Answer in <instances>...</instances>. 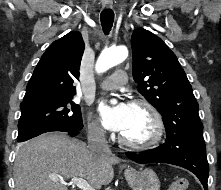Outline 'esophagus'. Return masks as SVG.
Wrapping results in <instances>:
<instances>
[{
    "label": "esophagus",
    "instance_id": "34e87169",
    "mask_svg": "<svg viewBox=\"0 0 221 190\" xmlns=\"http://www.w3.org/2000/svg\"><path fill=\"white\" fill-rule=\"evenodd\" d=\"M103 6L105 8H111L112 7V1L111 0H103Z\"/></svg>",
    "mask_w": 221,
    "mask_h": 190
}]
</instances>
